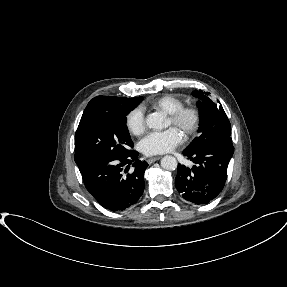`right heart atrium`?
<instances>
[{
	"label": "right heart atrium",
	"instance_id": "obj_1",
	"mask_svg": "<svg viewBox=\"0 0 287 287\" xmlns=\"http://www.w3.org/2000/svg\"><path fill=\"white\" fill-rule=\"evenodd\" d=\"M125 122L128 131L135 136L142 135L147 129L146 116L141 107L129 111Z\"/></svg>",
	"mask_w": 287,
	"mask_h": 287
}]
</instances>
